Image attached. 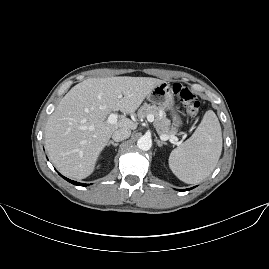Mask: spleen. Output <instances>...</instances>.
I'll list each match as a JSON object with an SVG mask.
<instances>
[{"instance_id":"1","label":"spleen","mask_w":269,"mask_h":269,"mask_svg":"<svg viewBox=\"0 0 269 269\" xmlns=\"http://www.w3.org/2000/svg\"><path fill=\"white\" fill-rule=\"evenodd\" d=\"M222 151V132L219 120L208 110L193 133L169 157L172 172L187 184H196L214 170Z\"/></svg>"}]
</instances>
